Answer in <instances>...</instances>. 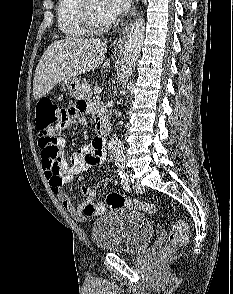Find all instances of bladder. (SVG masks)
Returning a JSON list of instances; mask_svg holds the SVG:
<instances>
[{
  "label": "bladder",
  "mask_w": 233,
  "mask_h": 294,
  "mask_svg": "<svg viewBox=\"0 0 233 294\" xmlns=\"http://www.w3.org/2000/svg\"><path fill=\"white\" fill-rule=\"evenodd\" d=\"M151 221L137 210L115 208L93 224L92 236L98 248L106 252L137 254L154 236Z\"/></svg>",
  "instance_id": "31cf9c89"
}]
</instances>
